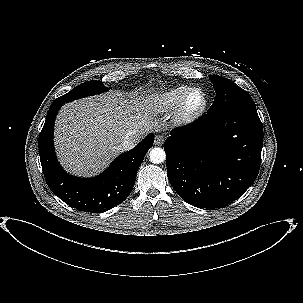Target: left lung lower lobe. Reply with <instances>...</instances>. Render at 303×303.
<instances>
[{"mask_svg": "<svg viewBox=\"0 0 303 303\" xmlns=\"http://www.w3.org/2000/svg\"><path fill=\"white\" fill-rule=\"evenodd\" d=\"M170 135L164 145L167 175L187 203L223 208L255 181L263 146L256 107L207 113Z\"/></svg>", "mask_w": 303, "mask_h": 303, "instance_id": "left-lung-lower-lobe-1", "label": "left lung lower lobe"}]
</instances>
